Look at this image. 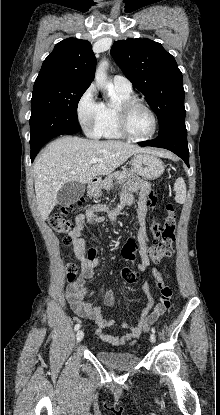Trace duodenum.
<instances>
[{
    "mask_svg": "<svg viewBox=\"0 0 220 415\" xmlns=\"http://www.w3.org/2000/svg\"><path fill=\"white\" fill-rule=\"evenodd\" d=\"M95 184H96V182H95V181H91V182L89 183V188H90V189L94 188Z\"/></svg>",
    "mask_w": 220,
    "mask_h": 415,
    "instance_id": "duodenum-1",
    "label": "duodenum"
}]
</instances>
